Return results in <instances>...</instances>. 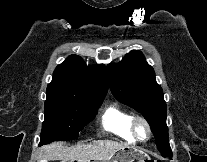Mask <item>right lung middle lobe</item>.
<instances>
[{
	"instance_id": "obj_1",
	"label": "right lung middle lobe",
	"mask_w": 207,
	"mask_h": 162,
	"mask_svg": "<svg viewBox=\"0 0 207 162\" xmlns=\"http://www.w3.org/2000/svg\"><path fill=\"white\" fill-rule=\"evenodd\" d=\"M45 120L40 145L56 140H74L97 114L104 97H81L46 92Z\"/></svg>"
}]
</instances>
